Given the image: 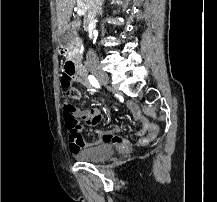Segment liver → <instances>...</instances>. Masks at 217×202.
Masks as SVG:
<instances>
[{"label":"liver","mask_w":217,"mask_h":202,"mask_svg":"<svg viewBox=\"0 0 217 202\" xmlns=\"http://www.w3.org/2000/svg\"><path fill=\"white\" fill-rule=\"evenodd\" d=\"M76 2L77 0H56L57 30L59 34H63L66 30H73V34H77L75 30L80 28L81 22L69 24ZM83 2L86 4L87 0H83Z\"/></svg>","instance_id":"liver-1"}]
</instances>
